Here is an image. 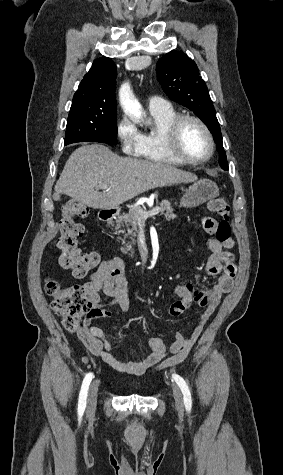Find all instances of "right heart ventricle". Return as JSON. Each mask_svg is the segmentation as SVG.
<instances>
[{
	"label": "right heart ventricle",
	"mask_w": 283,
	"mask_h": 475,
	"mask_svg": "<svg viewBox=\"0 0 283 475\" xmlns=\"http://www.w3.org/2000/svg\"><path fill=\"white\" fill-rule=\"evenodd\" d=\"M149 112L153 121L152 126L139 132L144 143L141 157L145 161L164 162L158 153V142L164 134L168 123L179 114L171 105L163 108L149 109Z\"/></svg>",
	"instance_id": "e07e8e85"
}]
</instances>
